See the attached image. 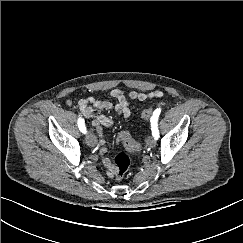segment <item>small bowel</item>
Segmentation results:
<instances>
[{"mask_svg": "<svg viewBox=\"0 0 243 243\" xmlns=\"http://www.w3.org/2000/svg\"><path fill=\"white\" fill-rule=\"evenodd\" d=\"M109 95L117 100L115 105L107 100L87 97L78 101V107L85 118L92 119V125L95 127L99 136V153L102 163L105 166L107 175L112 178L114 177V168L113 163L106 156L108 148L103 138L102 127H111L115 122L112 117L101 114V111L110 110L116 116L129 119L131 115L129 108L131 100L146 101L156 99L162 97L163 93L159 90L148 92L130 91L125 93L120 89H113L109 92Z\"/></svg>", "mask_w": 243, "mask_h": 243, "instance_id": "c3829d8e", "label": "small bowel"}]
</instances>
